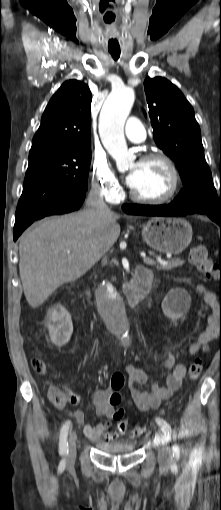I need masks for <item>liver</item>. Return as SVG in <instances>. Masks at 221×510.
<instances>
[{
  "mask_svg": "<svg viewBox=\"0 0 221 510\" xmlns=\"http://www.w3.org/2000/svg\"><path fill=\"white\" fill-rule=\"evenodd\" d=\"M118 218L112 211L101 215L87 208L40 221L21 235L19 271L32 308L100 260L120 235Z\"/></svg>",
  "mask_w": 221,
  "mask_h": 510,
  "instance_id": "6515ba94",
  "label": "liver"
}]
</instances>
